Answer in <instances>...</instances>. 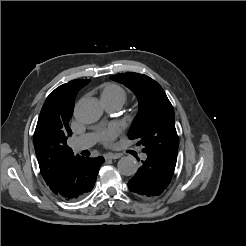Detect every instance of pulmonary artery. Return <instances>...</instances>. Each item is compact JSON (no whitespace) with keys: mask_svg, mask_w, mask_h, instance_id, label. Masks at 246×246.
<instances>
[{"mask_svg":"<svg viewBox=\"0 0 246 246\" xmlns=\"http://www.w3.org/2000/svg\"><path fill=\"white\" fill-rule=\"evenodd\" d=\"M106 108L110 111H117L121 108L120 105L111 104L106 105ZM96 142V137L93 134H84L76 138L73 143V149L75 151H81L90 148ZM147 158L146 154H141V159L145 160Z\"/></svg>","mask_w":246,"mask_h":246,"instance_id":"1","label":"pulmonary artery"}]
</instances>
